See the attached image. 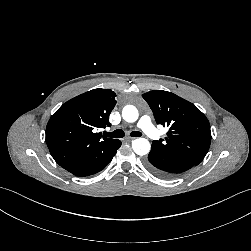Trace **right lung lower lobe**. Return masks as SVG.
<instances>
[{
    "mask_svg": "<svg viewBox=\"0 0 251 251\" xmlns=\"http://www.w3.org/2000/svg\"><path fill=\"white\" fill-rule=\"evenodd\" d=\"M120 146L121 141L116 140L108 148L95 153L87 161L76 164L66 170L80 177L93 175L107 166V164L112 160L113 156L116 154V151L119 149Z\"/></svg>",
    "mask_w": 251,
    "mask_h": 251,
    "instance_id": "98d812e1",
    "label": "right lung lower lobe"
}]
</instances>
